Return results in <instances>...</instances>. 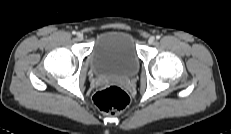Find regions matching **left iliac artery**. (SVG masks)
I'll list each match as a JSON object with an SVG mask.
<instances>
[{
    "label": "left iliac artery",
    "mask_w": 231,
    "mask_h": 134,
    "mask_svg": "<svg viewBox=\"0 0 231 134\" xmlns=\"http://www.w3.org/2000/svg\"><path fill=\"white\" fill-rule=\"evenodd\" d=\"M156 39H160V36H159V35H157V36H156Z\"/></svg>",
    "instance_id": "1"
}]
</instances>
